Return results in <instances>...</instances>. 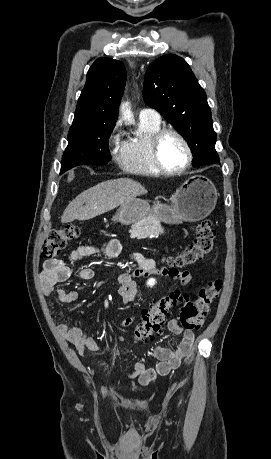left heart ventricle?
<instances>
[{
  "instance_id": "1",
  "label": "left heart ventricle",
  "mask_w": 271,
  "mask_h": 459,
  "mask_svg": "<svg viewBox=\"0 0 271 459\" xmlns=\"http://www.w3.org/2000/svg\"><path fill=\"white\" fill-rule=\"evenodd\" d=\"M160 153L164 164L170 168H180L188 160L185 144L174 134H168L162 139Z\"/></svg>"
}]
</instances>
